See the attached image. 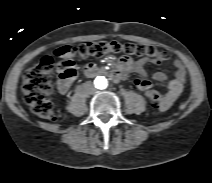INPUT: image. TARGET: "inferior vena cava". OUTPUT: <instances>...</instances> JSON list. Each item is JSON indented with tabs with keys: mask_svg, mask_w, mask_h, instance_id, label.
<instances>
[{
	"mask_svg": "<svg viewBox=\"0 0 212 183\" xmlns=\"http://www.w3.org/2000/svg\"><path fill=\"white\" fill-rule=\"evenodd\" d=\"M85 90L89 94H94L96 92V88L91 82H87L84 84Z\"/></svg>",
	"mask_w": 212,
	"mask_h": 183,
	"instance_id": "obj_1",
	"label": "inferior vena cava"
}]
</instances>
